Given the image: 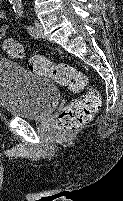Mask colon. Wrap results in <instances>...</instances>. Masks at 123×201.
<instances>
[{"mask_svg":"<svg viewBox=\"0 0 123 201\" xmlns=\"http://www.w3.org/2000/svg\"><path fill=\"white\" fill-rule=\"evenodd\" d=\"M3 50L12 58L23 57L21 46L11 37L2 41ZM29 68L33 72L52 78L61 86L82 92L80 98L73 99L65 105L57 117L58 135L77 130L89 123L101 106V97L94 89H87L88 78L68 64H55L43 56H33L29 60Z\"/></svg>","mask_w":123,"mask_h":201,"instance_id":"obj_1","label":"colon"}]
</instances>
